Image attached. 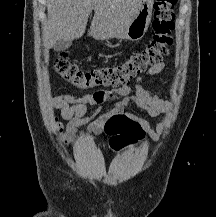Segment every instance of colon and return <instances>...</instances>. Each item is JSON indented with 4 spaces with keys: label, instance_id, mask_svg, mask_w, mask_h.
<instances>
[{
    "label": "colon",
    "instance_id": "obj_1",
    "mask_svg": "<svg viewBox=\"0 0 216 217\" xmlns=\"http://www.w3.org/2000/svg\"><path fill=\"white\" fill-rule=\"evenodd\" d=\"M177 0H156L153 18V39L143 49L133 52L127 60L116 65L82 70L67 59L62 53L54 61L57 74L67 82L80 88L113 86L124 84L145 71L168 55L172 44L171 32L174 29V6ZM61 125L57 126L61 130ZM110 135V146L120 150L142 139L143 131L131 119L121 116L110 121L106 126Z\"/></svg>",
    "mask_w": 216,
    "mask_h": 217
}]
</instances>
